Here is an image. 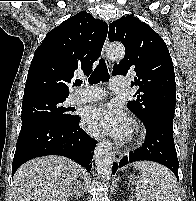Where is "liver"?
Returning <instances> with one entry per match:
<instances>
[{
	"mask_svg": "<svg viewBox=\"0 0 196 201\" xmlns=\"http://www.w3.org/2000/svg\"><path fill=\"white\" fill-rule=\"evenodd\" d=\"M79 165L62 156H42L23 164L13 177V201H68Z\"/></svg>",
	"mask_w": 196,
	"mask_h": 201,
	"instance_id": "6515ba94",
	"label": "liver"
}]
</instances>
